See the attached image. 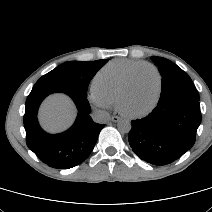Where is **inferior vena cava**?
I'll return each instance as SVG.
<instances>
[{
	"label": "inferior vena cava",
	"instance_id": "602c4592",
	"mask_svg": "<svg viewBox=\"0 0 212 212\" xmlns=\"http://www.w3.org/2000/svg\"><path fill=\"white\" fill-rule=\"evenodd\" d=\"M92 119L97 123H105L109 121L110 115L106 111L96 109L92 112Z\"/></svg>",
	"mask_w": 212,
	"mask_h": 212
}]
</instances>
